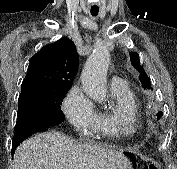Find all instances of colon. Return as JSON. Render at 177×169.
<instances>
[{
	"instance_id": "colon-1",
	"label": "colon",
	"mask_w": 177,
	"mask_h": 169,
	"mask_svg": "<svg viewBox=\"0 0 177 169\" xmlns=\"http://www.w3.org/2000/svg\"><path fill=\"white\" fill-rule=\"evenodd\" d=\"M148 169H158L156 166H150Z\"/></svg>"
}]
</instances>
